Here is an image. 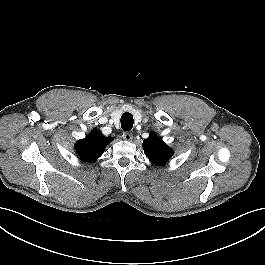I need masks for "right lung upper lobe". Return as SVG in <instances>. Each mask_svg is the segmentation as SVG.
<instances>
[{"mask_svg": "<svg viewBox=\"0 0 265 265\" xmlns=\"http://www.w3.org/2000/svg\"><path fill=\"white\" fill-rule=\"evenodd\" d=\"M112 141L111 137H105L101 131L92 130L84 139L75 143V150L83 161H95L104 152L106 146Z\"/></svg>", "mask_w": 265, "mask_h": 265, "instance_id": "1", "label": "right lung upper lobe"}]
</instances>
